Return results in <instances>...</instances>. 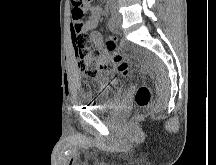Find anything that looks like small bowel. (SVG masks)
<instances>
[{
  "label": "small bowel",
  "mask_w": 216,
  "mask_h": 165,
  "mask_svg": "<svg viewBox=\"0 0 216 165\" xmlns=\"http://www.w3.org/2000/svg\"><path fill=\"white\" fill-rule=\"evenodd\" d=\"M89 15L85 22L82 21V9L74 8L71 15L70 24V37L73 43H75L76 37L83 33L85 30H90V35L92 38L93 46L97 50H102V41L100 34L94 30V28L101 22L103 11L99 7H91L88 10ZM76 52V50H75Z\"/></svg>",
  "instance_id": "1"
}]
</instances>
